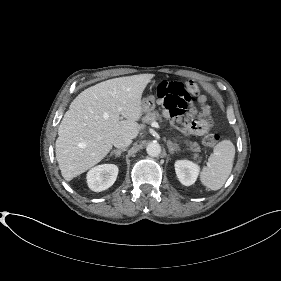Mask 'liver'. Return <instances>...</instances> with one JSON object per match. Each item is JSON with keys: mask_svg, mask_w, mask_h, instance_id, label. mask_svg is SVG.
<instances>
[{"mask_svg": "<svg viewBox=\"0 0 281 281\" xmlns=\"http://www.w3.org/2000/svg\"><path fill=\"white\" fill-rule=\"evenodd\" d=\"M150 79L149 74H139L103 81L71 102L55 144L56 159L66 181L99 163L117 137L138 136L141 97Z\"/></svg>", "mask_w": 281, "mask_h": 281, "instance_id": "obj_1", "label": "liver"}]
</instances>
